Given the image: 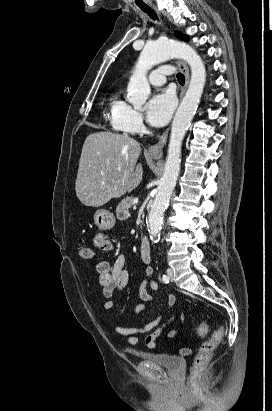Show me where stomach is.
<instances>
[{"mask_svg":"<svg viewBox=\"0 0 272 411\" xmlns=\"http://www.w3.org/2000/svg\"><path fill=\"white\" fill-rule=\"evenodd\" d=\"M153 158H157L153 156ZM113 213L105 209H99L94 214V223L101 230H110L115 225Z\"/></svg>","mask_w":272,"mask_h":411,"instance_id":"1","label":"stomach"}]
</instances>
